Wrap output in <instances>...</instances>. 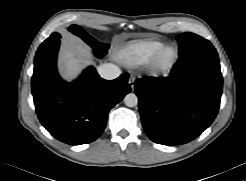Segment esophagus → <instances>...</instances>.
I'll return each mask as SVG.
<instances>
[{"label": "esophagus", "instance_id": "34e87169", "mask_svg": "<svg viewBox=\"0 0 246 181\" xmlns=\"http://www.w3.org/2000/svg\"><path fill=\"white\" fill-rule=\"evenodd\" d=\"M128 83H129L131 89L133 90L134 89L135 78L133 76H130L129 80H128Z\"/></svg>", "mask_w": 246, "mask_h": 181}]
</instances>
